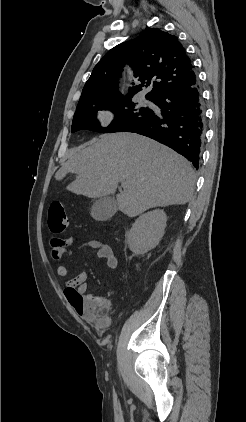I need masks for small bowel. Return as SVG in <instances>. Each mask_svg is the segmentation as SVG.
I'll return each instance as SVG.
<instances>
[{"mask_svg":"<svg viewBox=\"0 0 246 422\" xmlns=\"http://www.w3.org/2000/svg\"><path fill=\"white\" fill-rule=\"evenodd\" d=\"M74 239L67 240L53 239L51 256L54 260L73 255L70 248ZM87 246L94 248L98 257L105 262L106 266L110 269H115L118 266V259L111 248L105 242L92 240L89 241ZM56 274L59 277H68L70 274L69 269L64 265H59L56 268ZM87 274L81 272L76 276L66 281L64 287V295L68 302L74 307L77 313L82 316L86 321L95 323L98 326H105L108 322L106 318L107 313L112 308L110 299L111 293L107 295H86L87 291Z\"/></svg>","mask_w":246,"mask_h":422,"instance_id":"small-bowel-1","label":"small bowel"}]
</instances>
